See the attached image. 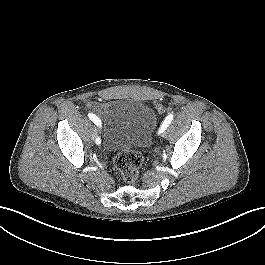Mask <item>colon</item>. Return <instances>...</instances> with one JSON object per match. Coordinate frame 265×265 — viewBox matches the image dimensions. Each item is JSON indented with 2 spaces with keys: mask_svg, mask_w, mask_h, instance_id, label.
<instances>
[{
  "mask_svg": "<svg viewBox=\"0 0 265 265\" xmlns=\"http://www.w3.org/2000/svg\"><path fill=\"white\" fill-rule=\"evenodd\" d=\"M158 111L164 112L162 106H157ZM143 156L135 150H127L119 152L114 158V165L120 171L124 180L130 184H134L140 173V166Z\"/></svg>",
  "mask_w": 265,
  "mask_h": 265,
  "instance_id": "obj_1",
  "label": "colon"
}]
</instances>
